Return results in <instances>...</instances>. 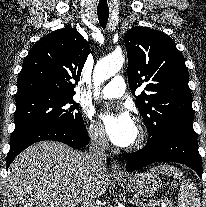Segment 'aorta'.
<instances>
[{
	"label": "aorta",
	"mask_w": 206,
	"mask_h": 207,
	"mask_svg": "<svg viewBox=\"0 0 206 207\" xmlns=\"http://www.w3.org/2000/svg\"><path fill=\"white\" fill-rule=\"evenodd\" d=\"M123 63L124 56L121 53H112L96 64L93 75L96 96L100 83L114 76L121 69Z\"/></svg>",
	"instance_id": "obj_1"
}]
</instances>
